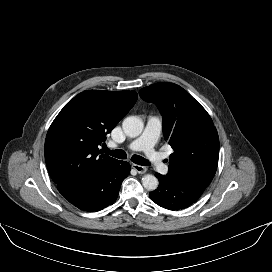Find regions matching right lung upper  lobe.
Listing matches in <instances>:
<instances>
[{"mask_svg":"<svg viewBox=\"0 0 272 272\" xmlns=\"http://www.w3.org/2000/svg\"><path fill=\"white\" fill-rule=\"evenodd\" d=\"M137 97L134 91L86 90L60 111L44 147L48 172L57 185L88 179L115 160L101 154L99 146Z\"/></svg>","mask_w":272,"mask_h":272,"instance_id":"1","label":"right lung upper lobe"}]
</instances>
